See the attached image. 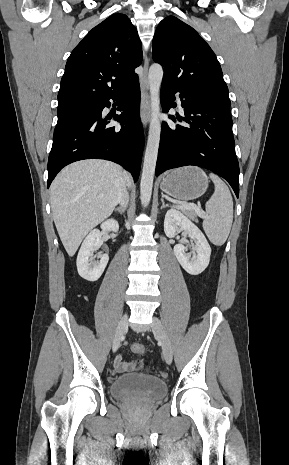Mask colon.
Instances as JSON below:
<instances>
[{
    "mask_svg": "<svg viewBox=\"0 0 289 465\" xmlns=\"http://www.w3.org/2000/svg\"><path fill=\"white\" fill-rule=\"evenodd\" d=\"M131 349H132V351L135 352V353H140V352L143 351L144 348H143V345L136 343V344H133V345H132ZM139 367H140L141 369H144V367H143V365H142L141 363L139 364Z\"/></svg>",
    "mask_w": 289,
    "mask_h": 465,
    "instance_id": "1",
    "label": "colon"
}]
</instances>
